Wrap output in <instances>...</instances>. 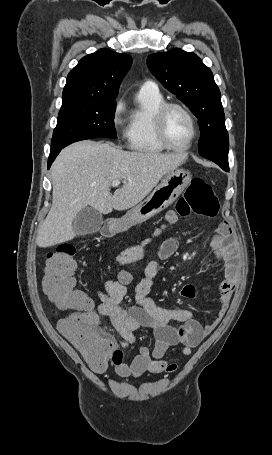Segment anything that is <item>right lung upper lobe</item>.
<instances>
[{"label": "right lung upper lobe", "instance_id": "right-lung-upper-lobe-1", "mask_svg": "<svg viewBox=\"0 0 272 455\" xmlns=\"http://www.w3.org/2000/svg\"><path fill=\"white\" fill-rule=\"evenodd\" d=\"M131 63L129 55L108 49L85 56L68 74L63 103L115 101Z\"/></svg>", "mask_w": 272, "mask_h": 455}]
</instances>
